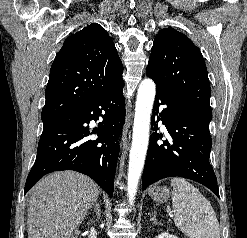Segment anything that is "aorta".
Returning <instances> with one entry per match:
<instances>
[{
  "mask_svg": "<svg viewBox=\"0 0 247 238\" xmlns=\"http://www.w3.org/2000/svg\"><path fill=\"white\" fill-rule=\"evenodd\" d=\"M156 93L155 83L144 79L138 88L132 146L128 167V198L132 205L142 173L149 142L150 116Z\"/></svg>",
  "mask_w": 247,
  "mask_h": 238,
  "instance_id": "obj_1",
  "label": "aorta"
}]
</instances>
